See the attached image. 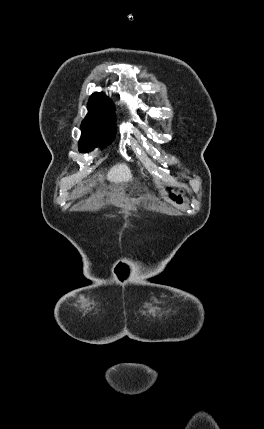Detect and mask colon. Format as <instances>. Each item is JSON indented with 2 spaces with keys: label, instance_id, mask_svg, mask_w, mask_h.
I'll list each match as a JSON object with an SVG mask.
<instances>
[{
  "label": "colon",
  "instance_id": "1",
  "mask_svg": "<svg viewBox=\"0 0 264 429\" xmlns=\"http://www.w3.org/2000/svg\"><path fill=\"white\" fill-rule=\"evenodd\" d=\"M171 197H172L174 200H177L178 202H180V201H181V198H180L179 196L172 195Z\"/></svg>",
  "mask_w": 264,
  "mask_h": 429
}]
</instances>
